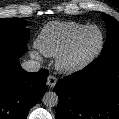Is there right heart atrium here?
I'll list each match as a JSON object with an SVG mask.
<instances>
[{"label": "right heart atrium", "mask_w": 119, "mask_h": 119, "mask_svg": "<svg viewBox=\"0 0 119 119\" xmlns=\"http://www.w3.org/2000/svg\"><path fill=\"white\" fill-rule=\"evenodd\" d=\"M33 55H34L35 57H38V53H36V52H33Z\"/></svg>", "instance_id": "obj_1"}]
</instances>
